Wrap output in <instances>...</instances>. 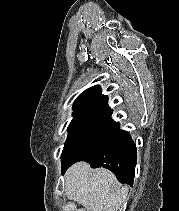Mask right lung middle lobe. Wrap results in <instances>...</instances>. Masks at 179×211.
<instances>
[{
  "mask_svg": "<svg viewBox=\"0 0 179 211\" xmlns=\"http://www.w3.org/2000/svg\"><path fill=\"white\" fill-rule=\"evenodd\" d=\"M111 114L87 112L73 115L61 155L62 166L75 163L114 133L119 124L111 119Z\"/></svg>",
  "mask_w": 179,
  "mask_h": 211,
  "instance_id": "1",
  "label": "right lung middle lobe"
}]
</instances>
